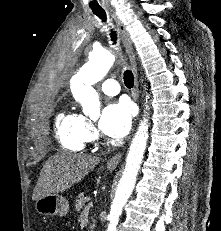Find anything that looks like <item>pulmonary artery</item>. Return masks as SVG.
Returning <instances> with one entry per match:
<instances>
[{
  "label": "pulmonary artery",
  "instance_id": "pulmonary-artery-1",
  "mask_svg": "<svg viewBox=\"0 0 221 231\" xmlns=\"http://www.w3.org/2000/svg\"><path fill=\"white\" fill-rule=\"evenodd\" d=\"M102 92L108 96L117 95L120 92L119 84L112 79H107L100 86Z\"/></svg>",
  "mask_w": 221,
  "mask_h": 231
}]
</instances>
